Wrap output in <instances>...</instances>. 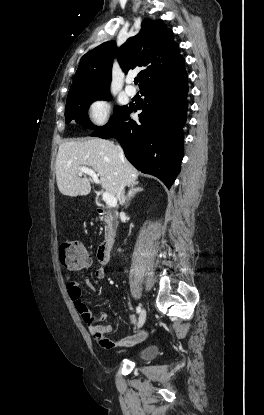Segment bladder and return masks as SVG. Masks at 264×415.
I'll use <instances>...</instances> for the list:
<instances>
[{
  "label": "bladder",
  "mask_w": 264,
  "mask_h": 415,
  "mask_svg": "<svg viewBox=\"0 0 264 415\" xmlns=\"http://www.w3.org/2000/svg\"><path fill=\"white\" fill-rule=\"evenodd\" d=\"M158 354V348L155 345H149L147 347H144L137 353V357L140 360H150L154 358Z\"/></svg>",
  "instance_id": "31cf9c89"
}]
</instances>
